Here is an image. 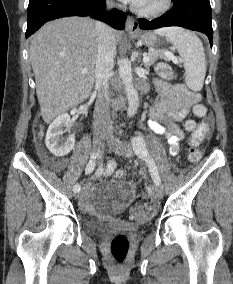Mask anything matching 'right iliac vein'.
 <instances>
[{
    "label": "right iliac vein",
    "instance_id": "obj_1",
    "mask_svg": "<svg viewBox=\"0 0 233 284\" xmlns=\"http://www.w3.org/2000/svg\"><path fill=\"white\" fill-rule=\"evenodd\" d=\"M94 150L96 155H101L105 148L106 138L103 135H95L94 136ZM79 192L75 193V198L79 197Z\"/></svg>",
    "mask_w": 233,
    "mask_h": 284
}]
</instances>
